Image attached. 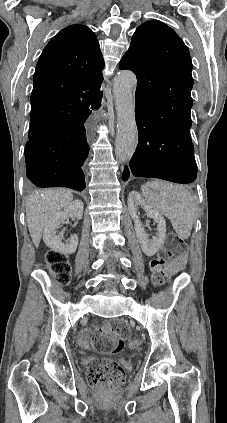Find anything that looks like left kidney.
<instances>
[{
  "label": "left kidney",
  "mask_w": 227,
  "mask_h": 423,
  "mask_svg": "<svg viewBox=\"0 0 227 423\" xmlns=\"http://www.w3.org/2000/svg\"><path fill=\"white\" fill-rule=\"evenodd\" d=\"M127 204L129 213L132 219H134L135 231L144 253H146V255H154L157 249H159L162 243H164L166 237V221L163 215H161L159 211L150 208L138 192H130ZM139 206H142L147 215H149V217H153L154 221L157 223V233L156 235H153V239H148V233H146L143 223L141 219H139V215L137 213Z\"/></svg>",
  "instance_id": "obj_1"
}]
</instances>
